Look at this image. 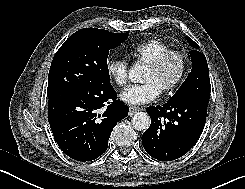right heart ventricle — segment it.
Listing matches in <instances>:
<instances>
[{"label": "right heart ventricle", "instance_id": "obj_1", "mask_svg": "<svg viewBox=\"0 0 245 189\" xmlns=\"http://www.w3.org/2000/svg\"><path fill=\"white\" fill-rule=\"evenodd\" d=\"M168 50L170 47L166 42L152 38L133 44L127 50V56L134 62L148 64Z\"/></svg>", "mask_w": 245, "mask_h": 189}]
</instances>
